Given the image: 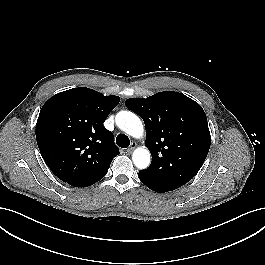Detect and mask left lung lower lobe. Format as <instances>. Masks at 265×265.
<instances>
[{"label": "left lung lower lobe", "mask_w": 265, "mask_h": 265, "mask_svg": "<svg viewBox=\"0 0 265 265\" xmlns=\"http://www.w3.org/2000/svg\"><path fill=\"white\" fill-rule=\"evenodd\" d=\"M138 175H139V179L142 181V183L153 191L160 193V192H168V191H172L174 189H177V188L168 186L166 184H163L161 182H158V181L144 175L143 173H141V171H139Z\"/></svg>", "instance_id": "left-lung-lower-lobe-1"}]
</instances>
